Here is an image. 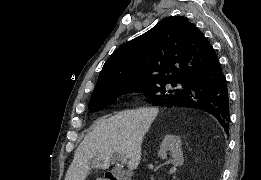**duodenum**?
Instances as JSON below:
<instances>
[{
	"instance_id": "1",
	"label": "duodenum",
	"mask_w": 261,
	"mask_h": 180,
	"mask_svg": "<svg viewBox=\"0 0 261 180\" xmlns=\"http://www.w3.org/2000/svg\"><path fill=\"white\" fill-rule=\"evenodd\" d=\"M104 180H129V177H122V173H105Z\"/></svg>"
}]
</instances>
